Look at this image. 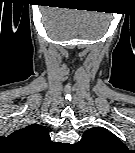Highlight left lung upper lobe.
Here are the masks:
<instances>
[{"label":"left lung upper lobe","instance_id":"1","mask_svg":"<svg viewBox=\"0 0 135 153\" xmlns=\"http://www.w3.org/2000/svg\"><path fill=\"white\" fill-rule=\"evenodd\" d=\"M78 146L90 153H122L127 148L115 135L102 127L85 131Z\"/></svg>","mask_w":135,"mask_h":153}]
</instances>
